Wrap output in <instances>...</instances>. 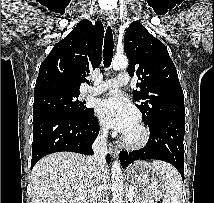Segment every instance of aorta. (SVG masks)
I'll return each mask as SVG.
<instances>
[{
    "label": "aorta",
    "mask_w": 214,
    "mask_h": 203,
    "mask_svg": "<svg viewBox=\"0 0 214 203\" xmlns=\"http://www.w3.org/2000/svg\"><path fill=\"white\" fill-rule=\"evenodd\" d=\"M111 66L113 70L125 69L128 66V59L124 55H116L112 59ZM111 181H112V200L113 203L123 202V175L120 162L115 160L111 168Z\"/></svg>",
    "instance_id": "aorta-1"
}]
</instances>
